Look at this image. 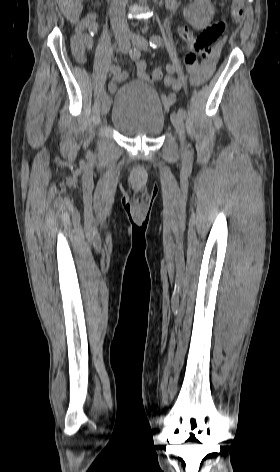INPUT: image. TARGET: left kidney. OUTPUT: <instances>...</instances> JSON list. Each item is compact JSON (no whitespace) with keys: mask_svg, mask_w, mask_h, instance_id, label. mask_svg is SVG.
I'll list each match as a JSON object with an SVG mask.
<instances>
[{"mask_svg":"<svg viewBox=\"0 0 280 472\" xmlns=\"http://www.w3.org/2000/svg\"><path fill=\"white\" fill-rule=\"evenodd\" d=\"M185 19L195 29L205 28L214 14V7L210 0H194L183 11Z\"/></svg>","mask_w":280,"mask_h":472,"instance_id":"obj_1","label":"left kidney"}]
</instances>
